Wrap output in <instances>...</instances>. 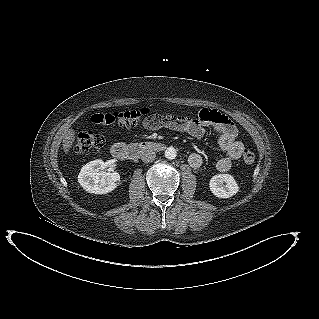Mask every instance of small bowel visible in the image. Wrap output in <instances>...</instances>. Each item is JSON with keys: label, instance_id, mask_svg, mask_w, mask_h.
<instances>
[{"label": "small bowel", "instance_id": "small-bowel-1", "mask_svg": "<svg viewBox=\"0 0 319 319\" xmlns=\"http://www.w3.org/2000/svg\"><path fill=\"white\" fill-rule=\"evenodd\" d=\"M102 116V114H94L90 119L93 123H104ZM143 126L152 130L169 128L196 139L202 138L207 128L214 129L219 135V147L224 152V156L216 162V168L221 172L231 169L234 161L239 159L244 151V144L238 140V130L235 124L226 115L214 109H202L197 118L176 116L166 111L163 114L146 118ZM202 162V157L198 153H192L188 158L189 165L195 169L199 168Z\"/></svg>", "mask_w": 319, "mask_h": 319}]
</instances>
